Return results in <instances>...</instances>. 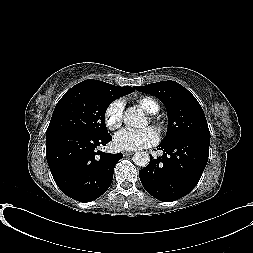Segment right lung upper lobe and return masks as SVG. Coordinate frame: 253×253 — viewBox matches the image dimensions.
I'll list each match as a JSON object with an SVG mask.
<instances>
[{
	"instance_id": "cb5924a9",
	"label": "right lung upper lobe",
	"mask_w": 253,
	"mask_h": 253,
	"mask_svg": "<svg viewBox=\"0 0 253 253\" xmlns=\"http://www.w3.org/2000/svg\"><path fill=\"white\" fill-rule=\"evenodd\" d=\"M78 84H83V85H93V86H100V87H108V86H113L111 84L102 82V81H98V80H93V79H88L85 80L83 82H80ZM113 87H117V88H121V89H125L128 90L130 93L135 91L132 87L130 86H126V87H118V86H113Z\"/></svg>"
}]
</instances>
